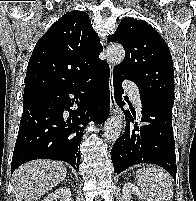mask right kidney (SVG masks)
<instances>
[{
  "label": "right kidney",
  "mask_w": 196,
  "mask_h": 201,
  "mask_svg": "<svg viewBox=\"0 0 196 201\" xmlns=\"http://www.w3.org/2000/svg\"><path fill=\"white\" fill-rule=\"evenodd\" d=\"M43 201H71V191L64 187L48 194Z\"/></svg>",
  "instance_id": "right-kidney-1"
}]
</instances>
